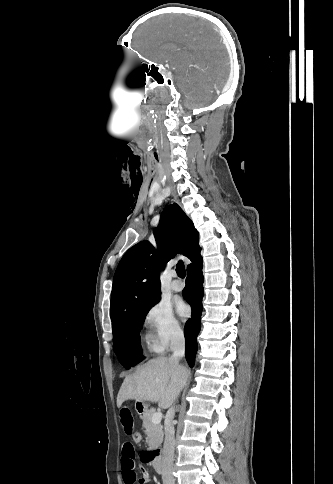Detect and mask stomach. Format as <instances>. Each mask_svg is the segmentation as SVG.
I'll list each match as a JSON object with an SVG mask.
<instances>
[{
    "label": "stomach",
    "instance_id": "0dacf381",
    "mask_svg": "<svg viewBox=\"0 0 333 484\" xmlns=\"http://www.w3.org/2000/svg\"><path fill=\"white\" fill-rule=\"evenodd\" d=\"M135 408L139 415H144L147 412V404L145 402H136Z\"/></svg>",
    "mask_w": 333,
    "mask_h": 484
}]
</instances>
